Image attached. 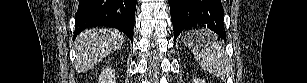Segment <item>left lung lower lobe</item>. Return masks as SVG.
Returning a JSON list of instances; mask_svg holds the SVG:
<instances>
[{"label": "left lung lower lobe", "mask_w": 307, "mask_h": 83, "mask_svg": "<svg viewBox=\"0 0 307 83\" xmlns=\"http://www.w3.org/2000/svg\"><path fill=\"white\" fill-rule=\"evenodd\" d=\"M174 40L182 31L205 27L226 38L224 11L220 0H168Z\"/></svg>", "instance_id": "obj_1"}]
</instances>
